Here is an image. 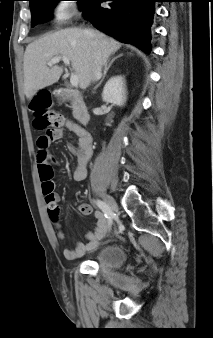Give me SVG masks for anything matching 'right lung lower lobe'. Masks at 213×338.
<instances>
[{
    "mask_svg": "<svg viewBox=\"0 0 213 338\" xmlns=\"http://www.w3.org/2000/svg\"><path fill=\"white\" fill-rule=\"evenodd\" d=\"M108 1V7H101ZM162 0H95L83 15L99 30L142 51H151L155 3Z\"/></svg>",
    "mask_w": 213,
    "mask_h": 338,
    "instance_id": "obj_1",
    "label": "right lung lower lobe"
}]
</instances>
